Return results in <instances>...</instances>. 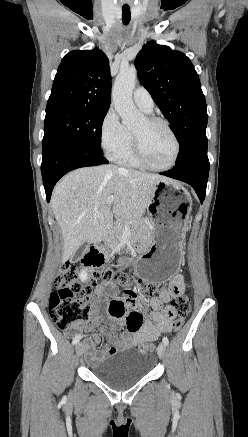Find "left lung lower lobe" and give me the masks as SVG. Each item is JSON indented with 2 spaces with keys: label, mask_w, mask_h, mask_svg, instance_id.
Listing matches in <instances>:
<instances>
[{
  "label": "left lung lower lobe",
  "mask_w": 248,
  "mask_h": 437,
  "mask_svg": "<svg viewBox=\"0 0 248 437\" xmlns=\"http://www.w3.org/2000/svg\"><path fill=\"white\" fill-rule=\"evenodd\" d=\"M209 167L207 142H205L198 146L185 160L177 163L173 169L160 174L191 185L196 191L201 203H203Z\"/></svg>",
  "instance_id": "obj_1"
}]
</instances>
